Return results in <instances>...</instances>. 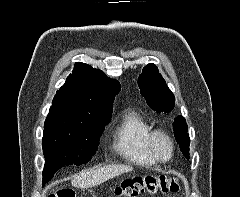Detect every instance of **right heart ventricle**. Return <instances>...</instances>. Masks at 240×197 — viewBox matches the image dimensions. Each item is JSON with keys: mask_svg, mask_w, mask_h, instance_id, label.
Returning a JSON list of instances; mask_svg holds the SVG:
<instances>
[{"mask_svg": "<svg viewBox=\"0 0 240 197\" xmlns=\"http://www.w3.org/2000/svg\"><path fill=\"white\" fill-rule=\"evenodd\" d=\"M150 124L136 111H126L118 120L112 135V149L126 161L139 166H154L157 162L147 150Z\"/></svg>", "mask_w": 240, "mask_h": 197, "instance_id": "e07e8e85", "label": "right heart ventricle"}]
</instances>
